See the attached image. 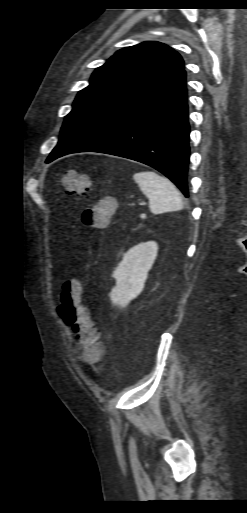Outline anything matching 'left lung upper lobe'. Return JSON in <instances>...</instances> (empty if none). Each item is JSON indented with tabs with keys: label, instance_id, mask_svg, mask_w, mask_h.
<instances>
[{
	"label": "left lung upper lobe",
	"instance_id": "5c2ea615",
	"mask_svg": "<svg viewBox=\"0 0 247 513\" xmlns=\"http://www.w3.org/2000/svg\"><path fill=\"white\" fill-rule=\"evenodd\" d=\"M184 70L182 57L159 42L121 49L92 74L61 128L59 143L94 120L148 93Z\"/></svg>",
	"mask_w": 247,
	"mask_h": 513
}]
</instances>
